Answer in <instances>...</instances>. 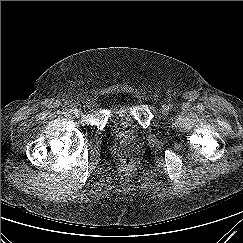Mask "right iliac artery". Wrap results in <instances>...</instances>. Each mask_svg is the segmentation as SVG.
Returning <instances> with one entry per match:
<instances>
[{
    "label": "right iliac artery",
    "instance_id": "obj_1",
    "mask_svg": "<svg viewBox=\"0 0 243 243\" xmlns=\"http://www.w3.org/2000/svg\"><path fill=\"white\" fill-rule=\"evenodd\" d=\"M76 111H77V109H74V108H71V109H70V113H71V114H76Z\"/></svg>",
    "mask_w": 243,
    "mask_h": 243
}]
</instances>
